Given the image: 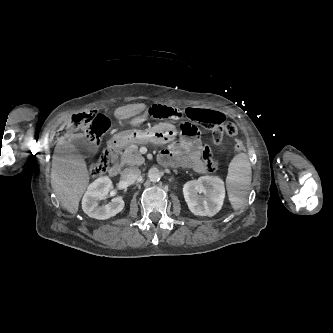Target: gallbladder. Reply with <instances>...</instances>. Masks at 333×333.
Instances as JSON below:
<instances>
[{
  "label": "gallbladder",
  "instance_id": "obj_1",
  "mask_svg": "<svg viewBox=\"0 0 333 333\" xmlns=\"http://www.w3.org/2000/svg\"><path fill=\"white\" fill-rule=\"evenodd\" d=\"M74 143L79 150L80 149H84L85 151L89 150V145L83 136L76 137Z\"/></svg>",
  "mask_w": 333,
  "mask_h": 333
}]
</instances>
